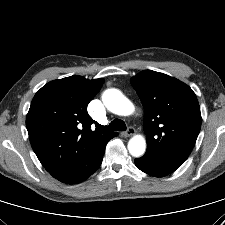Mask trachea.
<instances>
[{"label":"trachea","mask_w":225,"mask_h":225,"mask_svg":"<svg viewBox=\"0 0 225 225\" xmlns=\"http://www.w3.org/2000/svg\"><path fill=\"white\" fill-rule=\"evenodd\" d=\"M106 130L107 131H125L126 124L121 119H115L106 127Z\"/></svg>","instance_id":"obj_1"}]
</instances>
